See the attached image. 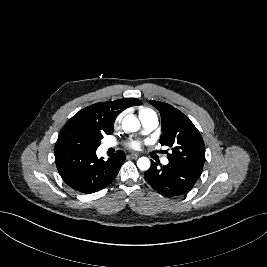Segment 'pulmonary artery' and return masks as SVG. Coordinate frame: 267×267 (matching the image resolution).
Returning <instances> with one entry per match:
<instances>
[{
	"mask_svg": "<svg viewBox=\"0 0 267 267\" xmlns=\"http://www.w3.org/2000/svg\"><path fill=\"white\" fill-rule=\"evenodd\" d=\"M140 118H141V122H142V125L144 128V131L146 133L155 130L159 124L158 117L155 113L148 114V115L142 116ZM113 146H114V143H111V142H105L103 144L104 149H108V148L113 147ZM161 162L163 165H167L169 163V160H168V158L163 157Z\"/></svg>",
	"mask_w": 267,
	"mask_h": 267,
	"instance_id": "obj_1",
	"label": "pulmonary artery"
}]
</instances>
